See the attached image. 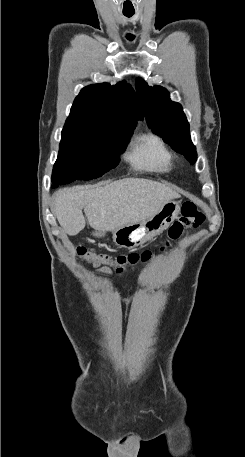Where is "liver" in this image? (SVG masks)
Segmentation results:
<instances>
[{"instance_id": "6515ba94", "label": "liver", "mask_w": 245, "mask_h": 457, "mask_svg": "<svg viewBox=\"0 0 245 457\" xmlns=\"http://www.w3.org/2000/svg\"><path fill=\"white\" fill-rule=\"evenodd\" d=\"M178 192L148 178H121L105 186H71L54 194V212L67 235H78L86 224L92 229L115 231L122 224L146 220Z\"/></svg>"}]
</instances>
